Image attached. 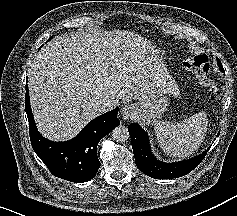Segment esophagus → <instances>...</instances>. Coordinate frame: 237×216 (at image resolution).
Segmentation results:
<instances>
[{
    "instance_id": "34e87169",
    "label": "esophagus",
    "mask_w": 237,
    "mask_h": 216,
    "mask_svg": "<svg viewBox=\"0 0 237 216\" xmlns=\"http://www.w3.org/2000/svg\"><path fill=\"white\" fill-rule=\"evenodd\" d=\"M136 108L131 103H126L122 106L121 116L124 120H132L134 119V112Z\"/></svg>"
}]
</instances>
